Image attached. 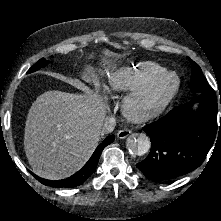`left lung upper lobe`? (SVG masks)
I'll return each instance as SVG.
<instances>
[{
  "label": "left lung upper lobe",
  "mask_w": 221,
  "mask_h": 221,
  "mask_svg": "<svg viewBox=\"0 0 221 221\" xmlns=\"http://www.w3.org/2000/svg\"><path fill=\"white\" fill-rule=\"evenodd\" d=\"M191 62V81L190 89L195 93H215L213 88L208 84L204 77L201 68L194 61L189 59Z\"/></svg>",
  "instance_id": "left-lung-upper-lobe-1"
}]
</instances>
